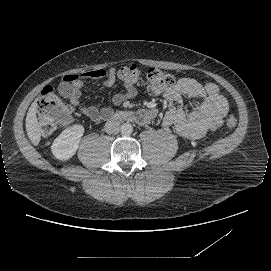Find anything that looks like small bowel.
Returning a JSON list of instances; mask_svg holds the SVG:
<instances>
[{
  "label": "small bowel",
  "instance_id": "small-bowel-1",
  "mask_svg": "<svg viewBox=\"0 0 271 271\" xmlns=\"http://www.w3.org/2000/svg\"><path fill=\"white\" fill-rule=\"evenodd\" d=\"M83 79L98 80L105 88L112 87L116 81L115 69H98L87 71L81 75L70 74L63 78V82L70 87L69 102L73 106H79L82 114L94 123H101L107 119L112 110L109 106L97 109L94 106H82L81 95L85 88ZM125 91L116 93L112 102L121 105L136 95V88L124 84ZM189 97V108L185 110L183 97ZM167 110L162 119L164 127L174 128L182 137L197 139L208 132L217 130L228 111V103L214 83L202 84L192 78H181L177 83L164 93ZM154 110H144L138 115L140 122L147 123L154 119Z\"/></svg>",
  "mask_w": 271,
  "mask_h": 271
}]
</instances>
